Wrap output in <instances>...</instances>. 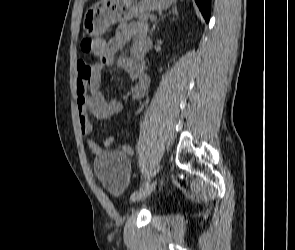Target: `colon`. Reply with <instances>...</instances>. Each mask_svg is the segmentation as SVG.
<instances>
[{
  "instance_id": "obj_1",
  "label": "colon",
  "mask_w": 295,
  "mask_h": 250,
  "mask_svg": "<svg viewBox=\"0 0 295 250\" xmlns=\"http://www.w3.org/2000/svg\"><path fill=\"white\" fill-rule=\"evenodd\" d=\"M102 39L98 38H85L81 42V49L85 53L93 54L100 48V43Z\"/></svg>"
}]
</instances>
